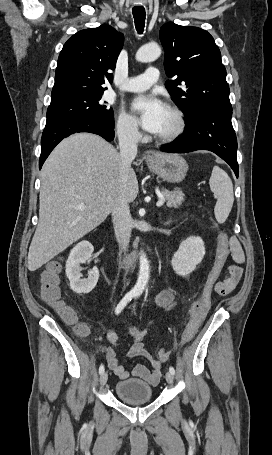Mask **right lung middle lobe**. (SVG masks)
I'll return each instance as SVG.
<instances>
[{
	"mask_svg": "<svg viewBox=\"0 0 272 455\" xmlns=\"http://www.w3.org/2000/svg\"><path fill=\"white\" fill-rule=\"evenodd\" d=\"M103 94L70 96L51 101L46 123L68 118H93L114 124L113 109L101 100Z\"/></svg>",
	"mask_w": 272,
	"mask_h": 455,
	"instance_id": "right-lung-middle-lobe-1",
	"label": "right lung middle lobe"
}]
</instances>
